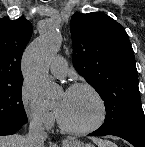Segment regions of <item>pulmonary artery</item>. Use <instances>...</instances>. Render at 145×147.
<instances>
[{"instance_id": "1", "label": "pulmonary artery", "mask_w": 145, "mask_h": 147, "mask_svg": "<svg viewBox=\"0 0 145 147\" xmlns=\"http://www.w3.org/2000/svg\"><path fill=\"white\" fill-rule=\"evenodd\" d=\"M50 71L57 77L65 76L68 71L66 60L61 56H56L50 64Z\"/></svg>"}]
</instances>
